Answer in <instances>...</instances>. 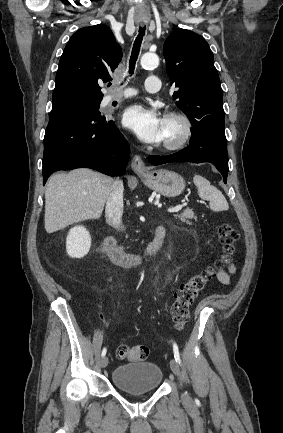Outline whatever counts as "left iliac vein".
Listing matches in <instances>:
<instances>
[{
	"instance_id": "1",
	"label": "left iliac vein",
	"mask_w": 283,
	"mask_h": 433,
	"mask_svg": "<svg viewBox=\"0 0 283 433\" xmlns=\"http://www.w3.org/2000/svg\"><path fill=\"white\" fill-rule=\"evenodd\" d=\"M170 367L171 370L175 373L176 376H180V368L178 363L175 359L170 360ZM183 398L185 399V404L190 406L191 405V399L187 394H182Z\"/></svg>"
}]
</instances>
